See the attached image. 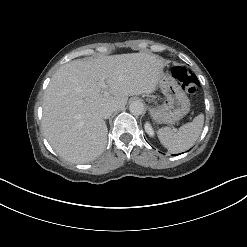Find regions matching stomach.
<instances>
[{"instance_id": "0dacf381", "label": "stomach", "mask_w": 247, "mask_h": 247, "mask_svg": "<svg viewBox=\"0 0 247 247\" xmlns=\"http://www.w3.org/2000/svg\"><path fill=\"white\" fill-rule=\"evenodd\" d=\"M158 86L166 99L162 104L150 107L153 120L166 124L178 122L190 111L188 96L168 72H161Z\"/></svg>"}]
</instances>
